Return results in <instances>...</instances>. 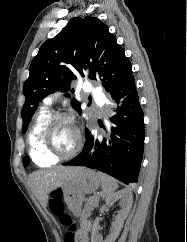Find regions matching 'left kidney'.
Here are the masks:
<instances>
[{
  "label": "left kidney",
  "mask_w": 187,
  "mask_h": 242,
  "mask_svg": "<svg viewBox=\"0 0 187 242\" xmlns=\"http://www.w3.org/2000/svg\"><path fill=\"white\" fill-rule=\"evenodd\" d=\"M121 204V211L115 218V221L112 223L111 233L107 237L106 240H102V237L99 234V218L95 219L93 223L92 233H91V242H114L118 237L121 228L123 227L124 220L126 219L133 203V195L132 192L128 189L120 190L114 193L112 196L106 199L105 205L100 208V212L102 213L106 206L112 205L118 200Z\"/></svg>",
  "instance_id": "1"
}]
</instances>
